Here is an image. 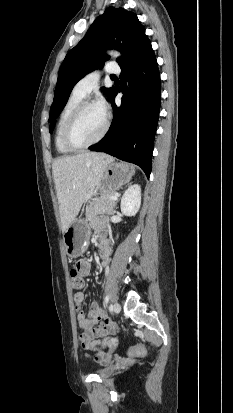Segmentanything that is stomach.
<instances>
[{
  "label": "stomach",
  "instance_id": "stomach-1",
  "mask_svg": "<svg viewBox=\"0 0 233 413\" xmlns=\"http://www.w3.org/2000/svg\"><path fill=\"white\" fill-rule=\"evenodd\" d=\"M134 173L135 168L132 165L112 161L106 165L96 188L101 194L114 193L123 185L127 184ZM89 235L90 228L87 221L74 219L63 233L66 254L72 258L80 256L84 252L85 243Z\"/></svg>",
  "mask_w": 233,
  "mask_h": 413
}]
</instances>
